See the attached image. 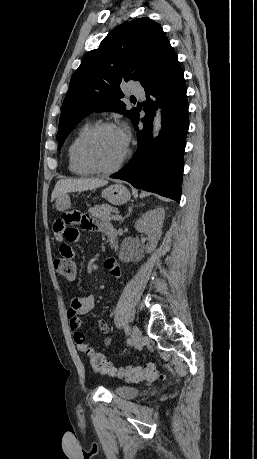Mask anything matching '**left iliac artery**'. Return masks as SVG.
Returning <instances> with one entry per match:
<instances>
[{
  "instance_id": "44dca946",
  "label": "left iliac artery",
  "mask_w": 257,
  "mask_h": 459,
  "mask_svg": "<svg viewBox=\"0 0 257 459\" xmlns=\"http://www.w3.org/2000/svg\"><path fill=\"white\" fill-rule=\"evenodd\" d=\"M125 332H126V334H129V327L128 326L125 327Z\"/></svg>"
}]
</instances>
